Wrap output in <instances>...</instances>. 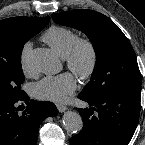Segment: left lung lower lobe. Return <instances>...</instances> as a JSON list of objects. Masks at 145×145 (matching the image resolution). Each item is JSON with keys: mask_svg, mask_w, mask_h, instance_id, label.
Returning a JSON list of instances; mask_svg holds the SVG:
<instances>
[{"mask_svg": "<svg viewBox=\"0 0 145 145\" xmlns=\"http://www.w3.org/2000/svg\"><path fill=\"white\" fill-rule=\"evenodd\" d=\"M89 108L79 109L83 117L81 132L70 145H128L140 114L141 89L113 92L104 96L80 93Z\"/></svg>", "mask_w": 145, "mask_h": 145, "instance_id": "left-lung-lower-lobe-1", "label": "left lung lower lobe"}]
</instances>
